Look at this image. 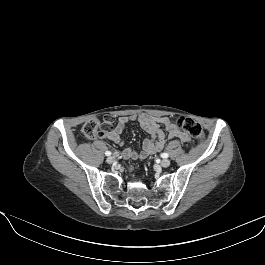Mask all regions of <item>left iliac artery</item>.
I'll return each instance as SVG.
<instances>
[{"label": "left iliac artery", "instance_id": "left-iliac-artery-1", "mask_svg": "<svg viewBox=\"0 0 265 265\" xmlns=\"http://www.w3.org/2000/svg\"><path fill=\"white\" fill-rule=\"evenodd\" d=\"M168 156H169L168 153H162V154H161V157H162V158H168Z\"/></svg>", "mask_w": 265, "mask_h": 265}]
</instances>
